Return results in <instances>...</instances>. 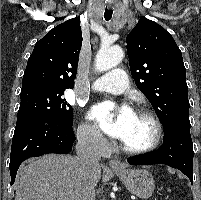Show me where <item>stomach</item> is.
Segmentation results:
<instances>
[{
    "label": "stomach",
    "instance_id": "obj_1",
    "mask_svg": "<svg viewBox=\"0 0 201 200\" xmlns=\"http://www.w3.org/2000/svg\"><path fill=\"white\" fill-rule=\"evenodd\" d=\"M125 187L137 197L146 199L154 191L153 176L144 169H113Z\"/></svg>",
    "mask_w": 201,
    "mask_h": 200
}]
</instances>
